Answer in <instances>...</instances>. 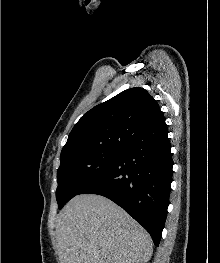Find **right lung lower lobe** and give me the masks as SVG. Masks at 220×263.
<instances>
[{
    "label": "right lung lower lobe",
    "instance_id": "obj_1",
    "mask_svg": "<svg viewBox=\"0 0 220 263\" xmlns=\"http://www.w3.org/2000/svg\"><path fill=\"white\" fill-rule=\"evenodd\" d=\"M168 133V132H167ZM167 133L139 139L78 194H98L127 211L159 245L169 205L172 154Z\"/></svg>",
    "mask_w": 220,
    "mask_h": 263
}]
</instances>
